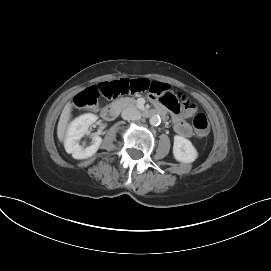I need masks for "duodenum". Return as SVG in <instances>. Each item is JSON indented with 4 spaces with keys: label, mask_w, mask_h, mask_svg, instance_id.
I'll use <instances>...</instances> for the list:
<instances>
[{
    "label": "duodenum",
    "mask_w": 271,
    "mask_h": 271,
    "mask_svg": "<svg viewBox=\"0 0 271 271\" xmlns=\"http://www.w3.org/2000/svg\"><path fill=\"white\" fill-rule=\"evenodd\" d=\"M118 111H119L118 105H116V104L109 105V106L103 108V110L101 112V116L103 119H105L107 121H111L116 118ZM141 113L144 117H151L156 114L163 115V109L143 110Z\"/></svg>",
    "instance_id": "obj_1"
}]
</instances>
